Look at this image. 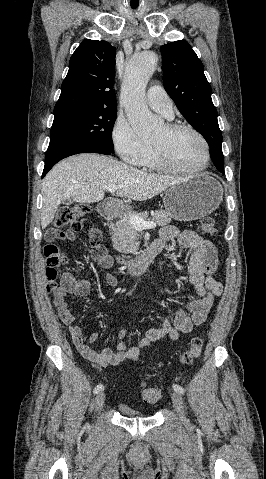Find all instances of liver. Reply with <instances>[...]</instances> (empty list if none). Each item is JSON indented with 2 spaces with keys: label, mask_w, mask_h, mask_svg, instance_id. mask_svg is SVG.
I'll return each mask as SVG.
<instances>
[{
  "label": "liver",
  "mask_w": 266,
  "mask_h": 479,
  "mask_svg": "<svg viewBox=\"0 0 266 479\" xmlns=\"http://www.w3.org/2000/svg\"><path fill=\"white\" fill-rule=\"evenodd\" d=\"M187 178L147 173L99 154L68 157L53 167L43 180L42 229L53 221L62 200L99 202L107 187L116 185L120 186L116 190L117 197L145 201Z\"/></svg>",
  "instance_id": "liver-1"
}]
</instances>
